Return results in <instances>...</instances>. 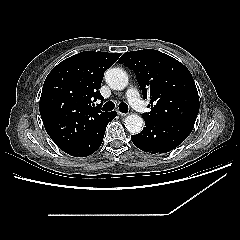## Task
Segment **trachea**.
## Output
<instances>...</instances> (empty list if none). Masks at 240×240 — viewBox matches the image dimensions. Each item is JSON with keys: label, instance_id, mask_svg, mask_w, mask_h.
Masks as SVG:
<instances>
[{"label": "trachea", "instance_id": "trachea-1", "mask_svg": "<svg viewBox=\"0 0 240 240\" xmlns=\"http://www.w3.org/2000/svg\"><path fill=\"white\" fill-rule=\"evenodd\" d=\"M115 108V104L112 101H108L103 105V110L104 111H111ZM119 110L123 113H127L128 112V106L126 105V103H120L119 104Z\"/></svg>", "mask_w": 240, "mask_h": 240}]
</instances>
